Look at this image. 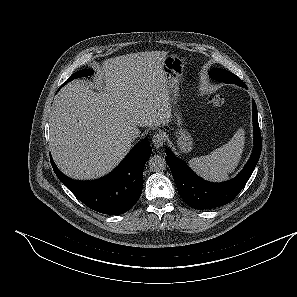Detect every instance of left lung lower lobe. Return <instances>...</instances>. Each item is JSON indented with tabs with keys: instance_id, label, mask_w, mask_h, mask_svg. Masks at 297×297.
Listing matches in <instances>:
<instances>
[{
	"instance_id": "1",
	"label": "left lung lower lobe",
	"mask_w": 297,
	"mask_h": 297,
	"mask_svg": "<svg viewBox=\"0 0 297 297\" xmlns=\"http://www.w3.org/2000/svg\"><path fill=\"white\" fill-rule=\"evenodd\" d=\"M254 128V148L244 169L233 179L222 183L207 182L198 177L181 159L176 158L170 149L166 150L165 160L172 172L181 198L194 209H211L231 202L243 189L259 160L262 148L258 124L257 107L252 100Z\"/></svg>"
}]
</instances>
